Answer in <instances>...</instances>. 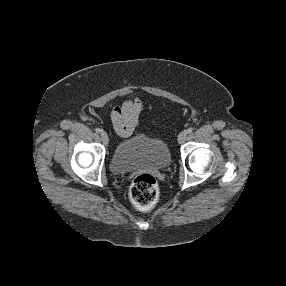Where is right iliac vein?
Returning a JSON list of instances; mask_svg holds the SVG:
<instances>
[{"label":"right iliac vein","instance_id":"right-iliac-vein-1","mask_svg":"<svg viewBox=\"0 0 286 286\" xmlns=\"http://www.w3.org/2000/svg\"><path fill=\"white\" fill-rule=\"evenodd\" d=\"M101 139L105 145H107L109 143V137L105 131L101 132Z\"/></svg>","mask_w":286,"mask_h":286}]
</instances>
